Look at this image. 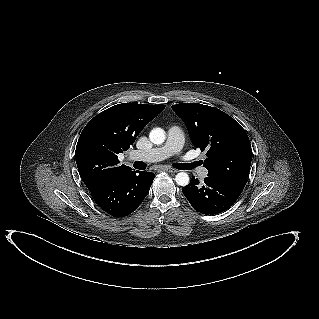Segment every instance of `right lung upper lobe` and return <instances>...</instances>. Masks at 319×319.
Returning <instances> with one entry per match:
<instances>
[{
	"label": "right lung upper lobe",
	"instance_id": "cb5924a9",
	"mask_svg": "<svg viewBox=\"0 0 319 319\" xmlns=\"http://www.w3.org/2000/svg\"><path fill=\"white\" fill-rule=\"evenodd\" d=\"M164 108L165 105L124 103L90 120L75 152L79 174L89 191L131 170L118 165V154L128 150L141 130Z\"/></svg>",
	"mask_w": 319,
	"mask_h": 319
}]
</instances>
